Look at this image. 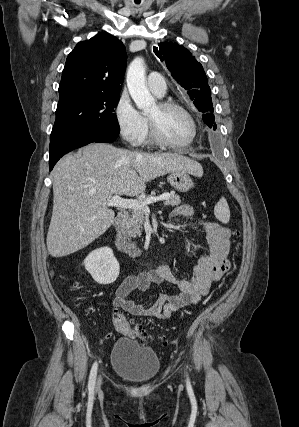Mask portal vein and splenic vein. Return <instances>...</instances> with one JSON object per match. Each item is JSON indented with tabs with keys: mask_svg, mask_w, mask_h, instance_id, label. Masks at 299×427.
Returning <instances> with one entry per match:
<instances>
[{
	"mask_svg": "<svg viewBox=\"0 0 299 427\" xmlns=\"http://www.w3.org/2000/svg\"><path fill=\"white\" fill-rule=\"evenodd\" d=\"M170 197V194H163L158 197L148 198L146 201H139L134 199H123L119 195H114L110 200L106 202L107 206H114L119 208H128L133 210H142L145 213H150L148 204L164 201Z\"/></svg>",
	"mask_w": 299,
	"mask_h": 427,
	"instance_id": "obj_1",
	"label": "portal vein and splenic vein"
}]
</instances>
